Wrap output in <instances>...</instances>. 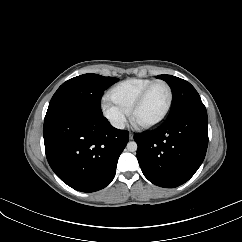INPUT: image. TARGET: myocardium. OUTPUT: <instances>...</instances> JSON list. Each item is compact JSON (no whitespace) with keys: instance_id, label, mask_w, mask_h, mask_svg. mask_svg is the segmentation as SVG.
I'll return each instance as SVG.
<instances>
[{"instance_id":"myocardium-1","label":"myocardium","mask_w":242,"mask_h":242,"mask_svg":"<svg viewBox=\"0 0 242 242\" xmlns=\"http://www.w3.org/2000/svg\"><path fill=\"white\" fill-rule=\"evenodd\" d=\"M157 84H163V85H165L166 88H167V90H168V102H167V105H166L163 113L161 114V116L158 119H156L155 121L150 122V123H138L135 120V115H136L138 109L140 108V106L143 104L144 100L146 99L148 93ZM172 104H173V90H172L170 84L167 81L162 80V79L154 80L152 83H150L140 93V95L137 97V99L133 103L132 108H131V111H130L132 121L138 127L143 128V129H150V128L156 127V126H158L159 124H161L166 119V117L168 116V114H169V112L171 110Z\"/></svg>"}]
</instances>
